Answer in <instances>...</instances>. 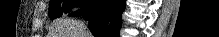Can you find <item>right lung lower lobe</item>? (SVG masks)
<instances>
[{
  "mask_svg": "<svg viewBox=\"0 0 219 37\" xmlns=\"http://www.w3.org/2000/svg\"><path fill=\"white\" fill-rule=\"evenodd\" d=\"M126 0H85L80 12L70 15L82 16L89 21V29L95 37H119L121 15Z\"/></svg>",
  "mask_w": 219,
  "mask_h": 37,
  "instance_id": "98d812e1",
  "label": "right lung lower lobe"
}]
</instances>
